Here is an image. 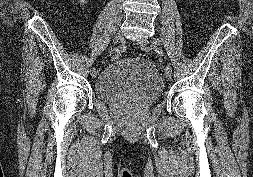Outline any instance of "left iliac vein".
<instances>
[{
  "mask_svg": "<svg viewBox=\"0 0 253 177\" xmlns=\"http://www.w3.org/2000/svg\"><path fill=\"white\" fill-rule=\"evenodd\" d=\"M138 46L142 49V50H150V48L148 47L149 42L145 39H141L137 42ZM165 76L168 80L172 79V71L170 70H165Z\"/></svg>",
  "mask_w": 253,
  "mask_h": 177,
  "instance_id": "4c4485c4",
  "label": "left iliac vein"
}]
</instances>
